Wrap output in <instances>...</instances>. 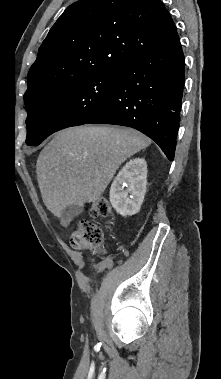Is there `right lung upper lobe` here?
Masks as SVG:
<instances>
[{"mask_svg":"<svg viewBox=\"0 0 221 379\" xmlns=\"http://www.w3.org/2000/svg\"><path fill=\"white\" fill-rule=\"evenodd\" d=\"M177 36L161 0L78 1L40 46L24 102L75 79L119 69Z\"/></svg>","mask_w":221,"mask_h":379,"instance_id":"right-lung-upper-lobe-1","label":"right lung upper lobe"}]
</instances>
